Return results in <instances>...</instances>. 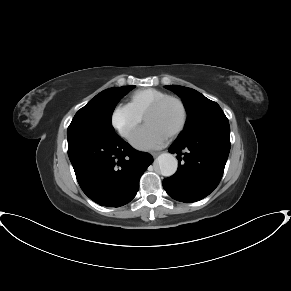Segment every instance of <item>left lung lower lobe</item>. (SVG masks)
I'll return each mask as SVG.
<instances>
[{"instance_id":"1","label":"left lung lower lobe","mask_w":291,"mask_h":291,"mask_svg":"<svg viewBox=\"0 0 291 291\" xmlns=\"http://www.w3.org/2000/svg\"><path fill=\"white\" fill-rule=\"evenodd\" d=\"M229 151V125L176 139L169 152L177 154L178 171L163 180L165 191L173 199L185 203L205 198L219 184Z\"/></svg>"}]
</instances>
